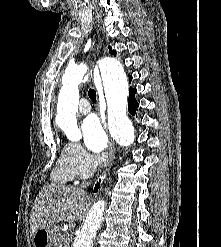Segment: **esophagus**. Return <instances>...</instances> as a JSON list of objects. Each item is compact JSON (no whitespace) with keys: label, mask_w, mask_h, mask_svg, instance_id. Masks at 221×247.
I'll return each instance as SVG.
<instances>
[{"label":"esophagus","mask_w":221,"mask_h":247,"mask_svg":"<svg viewBox=\"0 0 221 247\" xmlns=\"http://www.w3.org/2000/svg\"><path fill=\"white\" fill-rule=\"evenodd\" d=\"M100 104L104 106V99L99 97ZM115 158V146L114 142L111 139L109 143V149L106 155L103 156L104 164H103V172L106 173L110 170Z\"/></svg>","instance_id":"1"}]
</instances>
